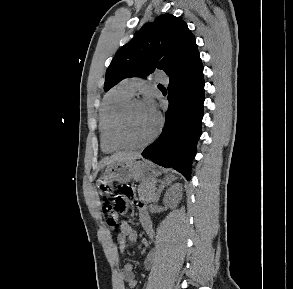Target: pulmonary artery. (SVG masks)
<instances>
[{
    "label": "pulmonary artery",
    "instance_id": "e3ab8cb5",
    "mask_svg": "<svg viewBox=\"0 0 293 289\" xmlns=\"http://www.w3.org/2000/svg\"><path fill=\"white\" fill-rule=\"evenodd\" d=\"M155 80L158 82H167V79L163 77L162 73H156ZM121 84L130 94L133 95L143 84V80L137 77H131L124 79Z\"/></svg>",
    "mask_w": 293,
    "mask_h": 289
}]
</instances>
